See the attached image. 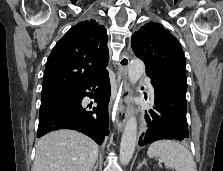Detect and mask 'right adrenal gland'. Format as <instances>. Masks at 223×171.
<instances>
[{
	"mask_svg": "<svg viewBox=\"0 0 223 171\" xmlns=\"http://www.w3.org/2000/svg\"><path fill=\"white\" fill-rule=\"evenodd\" d=\"M97 167H98V161H97L96 165L91 169V171H96Z\"/></svg>",
	"mask_w": 223,
	"mask_h": 171,
	"instance_id": "2a0ac1e0",
	"label": "right adrenal gland"
}]
</instances>
